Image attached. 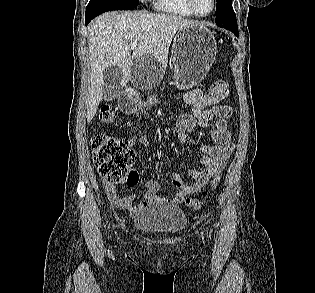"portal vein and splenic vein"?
<instances>
[{
	"label": "portal vein and splenic vein",
	"mask_w": 315,
	"mask_h": 293,
	"mask_svg": "<svg viewBox=\"0 0 315 293\" xmlns=\"http://www.w3.org/2000/svg\"><path fill=\"white\" fill-rule=\"evenodd\" d=\"M138 43L137 42H133L131 44V49L134 50L137 47Z\"/></svg>",
	"instance_id": "obj_1"
}]
</instances>
